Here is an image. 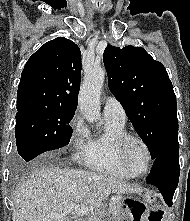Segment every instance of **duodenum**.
<instances>
[{
    "mask_svg": "<svg viewBox=\"0 0 190 221\" xmlns=\"http://www.w3.org/2000/svg\"><path fill=\"white\" fill-rule=\"evenodd\" d=\"M76 221H84V220L80 219V220H76Z\"/></svg>",
    "mask_w": 190,
    "mask_h": 221,
    "instance_id": "410a0bca",
    "label": "duodenum"
}]
</instances>
